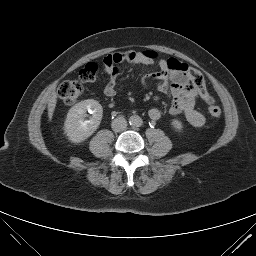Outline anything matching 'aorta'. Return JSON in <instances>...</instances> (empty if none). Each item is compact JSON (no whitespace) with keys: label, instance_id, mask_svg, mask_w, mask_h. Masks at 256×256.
Returning a JSON list of instances; mask_svg holds the SVG:
<instances>
[{"label":"aorta","instance_id":"1","mask_svg":"<svg viewBox=\"0 0 256 256\" xmlns=\"http://www.w3.org/2000/svg\"><path fill=\"white\" fill-rule=\"evenodd\" d=\"M142 119L138 115H133L129 118V124L133 127L140 126Z\"/></svg>","mask_w":256,"mask_h":256}]
</instances>
